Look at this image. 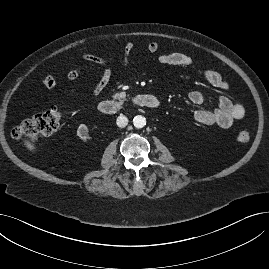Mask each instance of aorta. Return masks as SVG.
I'll use <instances>...</instances> for the list:
<instances>
[{"label": "aorta", "mask_w": 269, "mask_h": 269, "mask_svg": "<svg viewBox=\"0 0 269 269\" xmlns=\"http://www.w3.org/2000/svg\"><path fill=\"white\" fill-rule=\"evenodd\" d=\"M133 124L136 128H143L146 125V118L142 115H137L133 119Z\"/></svg>", "instance_id": "1"}]
</instances>
